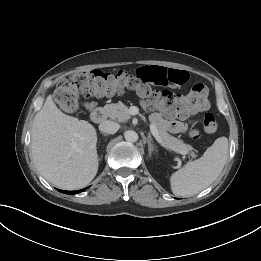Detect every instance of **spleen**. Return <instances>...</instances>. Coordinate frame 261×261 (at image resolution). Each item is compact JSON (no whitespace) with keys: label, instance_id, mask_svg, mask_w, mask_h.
<instances>
[{"label":"spleen","instance_id":"spleen-1","mask_svg":"<svg viewBox=\"0 0 261 261\" xmlns=\"http://www.w3.org/2000/svg\"><path fill=\"white\" fill-rule=\"evenodd\" d=\"M228 139L217 138L199 159L188 162L170 177L173 194L192 196L211 185L222 172L228 158Z\"/></svg>","mask_w":261,"mask_h":261}]
</instances>
